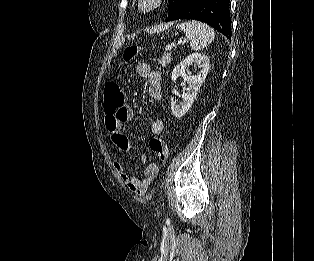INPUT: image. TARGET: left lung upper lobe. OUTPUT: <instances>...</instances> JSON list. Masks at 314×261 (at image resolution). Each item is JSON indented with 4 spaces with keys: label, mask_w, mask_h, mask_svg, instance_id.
<instances>
[{
    "label": "left lung upper lobe",
    "mask_w": 314,
    "mask_h": 261,
    "mask_svg": "<svg viewBox=\"0 0 314 261\" xmlns=\"http://www.w3.org/2000/svg\"><path fill=\"white\" fill-rule=\"evenodd\" d=\"M184 0H169V12L167 21L175 15Z\"/></svg>",
    "instance_id": "left-lung-upper-lobe-1"
}]
</instances>
